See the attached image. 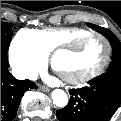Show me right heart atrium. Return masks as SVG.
Instances as JSON below:
<instances>
[{
    "label": "right heart atrium",
    "instance_id": "right-heart-atrium-1",
    "mask_svg": "<svg viewBox=\"0 0 121 121\" xmlns=\"http://www.w3.org/2000/svg\"><path fill=\"white\" fill-rule=\"evenodd\" d=\"M9 59L15 73L27 78L34 77L45 63V57L41 53L32 46L18 43L16 38L11 44Z\"/></svg>",
    "mask_w": 121,
    "mask_h": 121
}]
</instances>
